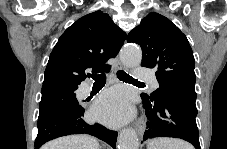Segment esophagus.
I'll return each instance as SVG.
<instances>
[{"label":"esophagus","instance_id":"34e87169","mask_svg":"<svg viewBox=\"0 0 227 149\" xmlns=\"http://www.w3.org/2000/svg\"><path fill=\"white\" fill-rule=\"evenodd\" d=\"M115 70H122L124 68L122 62L119 60V58H117L116 64L114 66ZM145 122L142 119H139L136 123V130L138 132L139 135H143L145 132Z\"/></svg>","mask_w":227,"mask_h":149}]
</instances>
